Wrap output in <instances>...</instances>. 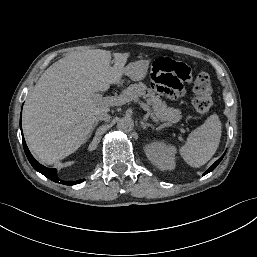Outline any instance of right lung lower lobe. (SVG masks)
<instances>
[{
    "mask_svg": "<svg viewBox=\"0 0 257 257\" xmlns=\"http://www.w3.org/2000/svg\"><path fill=\"white\" fill-rule=\"evenodd\" d=\"M20 128H21V118H20ZM22 135H23V133H22ZM22 141H23L24 151H25V154H26L29 162L31 163V165L34 167L35 170H37L38 172L43 174L45 177L49 178L50 180H52L56 183L65 184V185H75V184L81 183L85 180V179H82V180H78L75 182L74 181L66 182V181L60 180L57 176V170L53 169V168H47V167L41 165L40 163H38L34 159V157L31 155L30 151L28 150V147H27L23 137H22Z\"/></svg>",
    "mask_w": 257,
    "mask_h": 257,
    "instance_id": "obj_1",
    "label": "right lung lower lobe"
}]
</instances>
